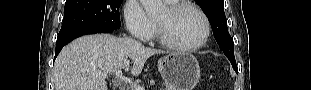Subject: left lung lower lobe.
Instances as JSON below:
<instances>
[{
	"instance_id": "obj_1",
	"label": "left lung lower lobe",
	"mask_w": 311,
	"mask_h": 90,
	"mask_svg": "<svg viewBox=\"0 0 311 90\" xmlns=\"http://www.w3.org/2000/svg\"><path fill=\"white\" fill-rule=\"evenodd\" d=\"M233 68L235 69V71H238L237 66H236V62H231Z\"/></svg>"
}]
</instances>
